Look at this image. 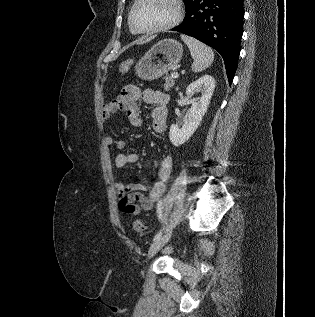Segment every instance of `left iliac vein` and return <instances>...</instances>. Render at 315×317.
<instances>
[{"instance_id":"obj_1","label":"left iliac vein","mask_w":315,"mask_h":317,"mask_svg":"<svg viewBox=\"0 0 315 317\" xmlns=\"http://www.w3.org/2000/svg\"><path fill=\"white\" fill-rule=\"evenodd\" d=\"M171 234L172 231H169L151 244L148 250V258L154 256L169 241Z\"/></svg>"}]
</instances>
